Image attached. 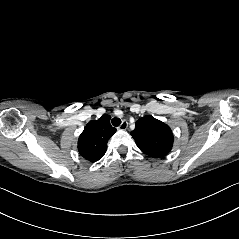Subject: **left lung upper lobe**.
Wrapping results in <instances>:
<instances>
[{
	"label": "left lung upper lobe",
	"mask_w": 239,
	"mask_h": 239,
	"mask_svg": "<svg viewBox=\"0 0 239 239\" xmlns=\"http://www.w3.org/2000/svg\"><path fill=\"white\" fill-rule=\"evenodd\" d=\"M131 135L138 148L153 158L167 155L173 146L174 138L170 127L149 115L136 121Z\"/></svg>",
	"instance_id": "5c2ea615"
}]
</instances>
